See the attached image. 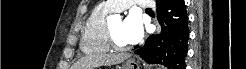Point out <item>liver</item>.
<instances>
[{"label": "liver", "mask_w": 246, "mask_h": 69, "mask_svg": "<svg viewBox=\"0 0 246 69\" xmlns=\"http://www.w3.org/2000/svg\"><path fill=\"white\" fill-rule=\"evenodd\" d=\"M129 57L127 54H101L90 55L81 58L74 66L73 69H92L98 66L116 65Z\"/></svg>", "instance_id": "1"}]
</instances>
